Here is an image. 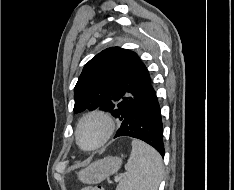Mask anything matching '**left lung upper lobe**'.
I'll return each mask as SVG.
<instances>
[{
    "mask_svg": "<svg viewBox=\"0 0 234 190\" xmlns=\"http://www.w3.org/2000/svg\"><path fill=\"white\" fill-rule=\"evenodd\" d=\"M149 83L148 70L136 53L107 48L84 66L74 88V111L100 107L123 121Z\"/></svg>",
    "mask_w": 234,
    "mask_h": 190,
    "instance_id": "5c2ea615",
    "label": "left lung upper lobe"
}]
</instances>
